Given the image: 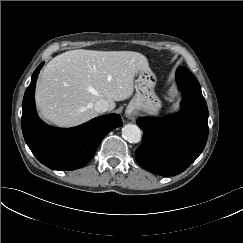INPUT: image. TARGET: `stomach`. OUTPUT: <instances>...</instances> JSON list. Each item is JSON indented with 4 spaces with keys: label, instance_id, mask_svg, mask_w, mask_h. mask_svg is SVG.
<instances>
[{
    "label": "stomach",
    "instance_id": "0dacf381",
    "mask_svg": "<svg viewBox=\"0 0 243 243\" xmlns=\"http://www.w3.org/2000/svg\"><path fill=\"white\" fill-rule=\"evenodd\" d=\"M156 81V75L149 67L139 70L135 80L136 94L130 101L128 108H133L136 111L145 112L149 115H157L162 103L154 91Z\"/></svg>",
    "mask_w": 243,
    "mask_h": 243
}]
</instances>
